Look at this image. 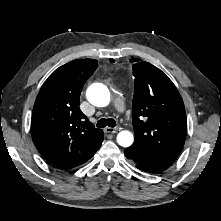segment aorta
<instances>
[{
    "label": "aorta",
    "mask_w": 221,
    "mask_h": 221,
    "mask_svg": "<svg viewBox=\"0 0 221 221\" xmlns=\"http://www.w3.org/2000/svg\"><path fill=\"white\" fill-rule=\"evenodd\" d=\"M87 98L94 106L105 107L110 102V92L105 85L95 83L88 88ZM133 141V134L129 131H121L117 135V143L122 147L131 146Z\"/></svg>",
    "instance_id": "762f6f07"
}]
</instances>
